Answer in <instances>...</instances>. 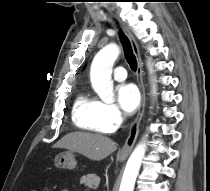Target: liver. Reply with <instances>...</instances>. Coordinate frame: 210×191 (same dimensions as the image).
Segmentation results:
<instances>
[{"label": "liver", "instance_id": "6515ba94", "mask_svg": "<svg viewBox=\"0 0 210 191\" xmlns=\"http://www.w3.org/2000/svg\"><path fill=\"white\" fill-rule=\"evenodd\" d=\"M77 152L95 161H100L117 149V144L101 134L71 132L53 146Z\"/></svg>", "mask_w": 210, "mask_h": 191}]
</instances>
